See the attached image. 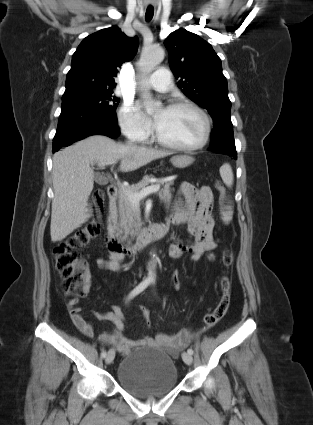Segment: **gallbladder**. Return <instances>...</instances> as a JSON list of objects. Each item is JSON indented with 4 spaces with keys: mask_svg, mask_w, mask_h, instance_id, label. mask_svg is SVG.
<instances>
[{
    "mask_svg": "<svg viewBox=\"0 0 313 425\" xmlns=\"http://www.w3.org/2000/svg\"><path fill=\"white\" fill-rule=\"evenodd\" d=\"M94 180H95L98 184H101V185H103V184H105V183H106L105 178H104L102 175H100V174H95V176H94Z\"/></svg>",
    "mask_w": 313,
    "mask_h": 425,
    "instance_id": "bac80fb5",
    "label": "gallbladder"
}]
</instances>
